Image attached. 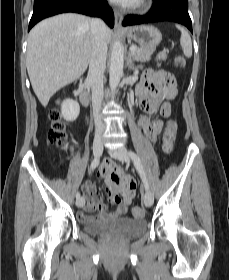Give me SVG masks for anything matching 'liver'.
<instances>
[{"label": "liver", "mask_w": 229, "mask_h": 280, "mask_svg": "<svg viewBox=\"0 0 229 280\" xmlns=\"http://www.w3.org/2000/svg\"><path fill=\"white\" fill-rule=\"evenodd\" d=\"M90 21L83 15L67 13L45 19L30 31L26 66L32 88L44 107L58 90L86 71L92 49ZM111 35L106 27V43Z\"/></svg>", "instance_id": "obj_1"}]
</instances>
